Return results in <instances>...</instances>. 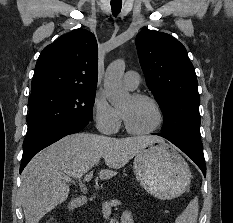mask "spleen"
<instances>
[{
    "label": "spleen",
    "instance_id": "3e777b00",
    "mask_svg": "<svg viewBox=\"0 0 233 223\" xmlns=\"http://www.w3.org/2000/svg\"><path fill=\"white\" fill-rule=\"evenodd\" d=\"M198 209L199 201L196 195L194 199H191L184 211L180 213L179 217H177V223H197Z\"/></svg>",
    "mask_w": 233,
    "mask_h": 223
}]
</instances>
